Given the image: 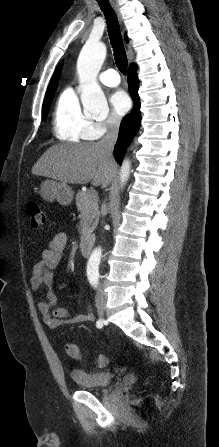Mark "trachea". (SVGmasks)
I'll return each instance as SVG.
<instances>
[{
	"mask_svg": "<svg viewBox=\"0 0 219 447\" xmlns=\"http://www.w3.org/2000/svg\"><path fill=\"white\" fill-rule=\"evenodd\" d=\"M97 1L102 11L104 12L105 18L107 20L109 38L114 51L116 65L120 70V72L126 74L128 62L117 16L112 7L110 6L108 0H97Z\"/></svg>",
	"mask_w": 219,
	"mask_h": 447,
	"instance_id": "1",
	"label": "trachea"
}]
</instances>
